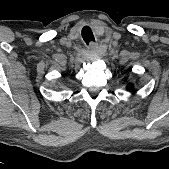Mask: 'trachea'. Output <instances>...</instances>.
<instances>
[{
	"label": "trachea",
	"mask_w": 169,
	"mask_h": 169,
	"mask_svg": "<svg viewBox=\"0 0 169 169\" xmlns=\"http://www.w3.org/2000/svg\"><path fill=\"white\" fill-rule=\"evenodd\" d=\"M82 38L87 45L95 41L93 32L89 26H84L82 28Z\"/></svg>",
	"instance_id": "1"
}]
</instances>
